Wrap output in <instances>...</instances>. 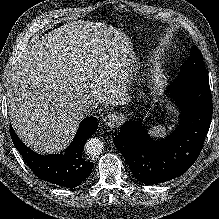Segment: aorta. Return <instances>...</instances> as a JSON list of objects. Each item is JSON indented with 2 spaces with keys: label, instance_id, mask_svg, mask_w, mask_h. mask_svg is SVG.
<instances>
[{
  "label": "aorta",
  "instance_id": "aorta-1",
  "mask_svg": "<svg viewBox=\"0 0 219 219\" xmlns=\"http://www.w3.org/2000/svg\"><path fill=\"white\" fill-rule=\"evenodd\" d=\"M84 149L88 155L96 156L103 151L104 145L100 139L91 138L88 139L87 142L85 143Z\"/></svg>",
  "mask_w": 219,
  "mask_h": 219
}]
</instances>
